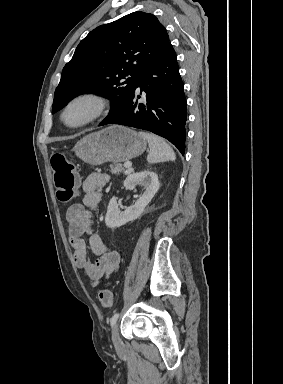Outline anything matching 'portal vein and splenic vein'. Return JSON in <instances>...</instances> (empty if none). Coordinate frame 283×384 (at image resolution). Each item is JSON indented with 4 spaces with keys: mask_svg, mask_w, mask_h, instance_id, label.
<instances>
[{
    "mask_svg": "<svg viewBox=\"0 0 283 384\" xmlns=\"http://www.w3.org/2000/svg\"><path fill=\"white\" fill-rule=\"evenodd\" d=\"M124 168H128V170H130V168H132V162H125Z\"/></svg>",
    "mask_w": 283,
    "mask_h": 384,
    "instance_id": "18ae733b",
    "label": "portal vein and splenic vein"
}]
</instances>
